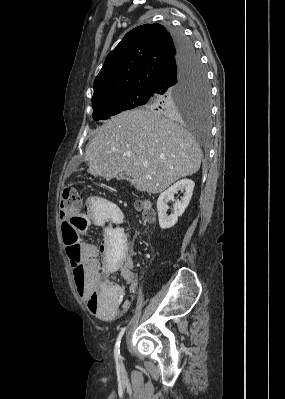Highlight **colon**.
Instances as JSON below:
<instances>
[{
  "label": "colon",
  "instance_id": "colon-1",
  "mask_svg": "<svg viewBox=\"0 0 285 399\" xmlns=\"http://www.w3.org/2000/svg\"><path fill=\"white\" fill-rule=\"evenodd\" d=\"M60 212L65 218L61 223V231L71 262L73 285L75 291H79L83 284L84 267L78 263L81 254L78 243L81 239V228L86 226L87 222L83 217V205L80 202L76 187L68 186L64 189L60 200ZM148 216L152 218L153 212L149 213ZM119 229L120 243L117 258L122 259L127 254V244L121 224H119Z\"/></svg>",
  "mask_w": 285,
  "mask_h": 399
}]
</instances>
